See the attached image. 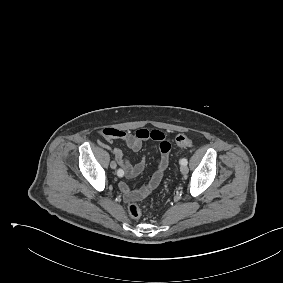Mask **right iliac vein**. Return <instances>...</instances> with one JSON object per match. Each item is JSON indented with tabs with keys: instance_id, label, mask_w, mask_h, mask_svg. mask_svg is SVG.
Returning a JSON list of instances; mask_svg holds the SVG:
<instances>
[{
	"instance_id": "right-iliac-vein-1",
	"label": "right iliac vein",
	"mask_w": 283,
	"mask_h": 283,
	"mask_svg": "<svg viewBox=\"0 0 283 283\" xmlns=\"http://www.w3.org/2000/svg\"><path fill=\"white\" fill-rule=\"evenodd\" d=\"M110 167H111L112 169H116V167H117L116 162H115V161H111Z\"/></svg>"
}]
</instances>
